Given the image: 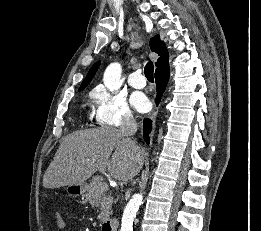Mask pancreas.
<instances>
[{
    "instance_id": "cf45deb5",
    "label": "pancreas",
    "mask_w": 261,
    "mask_h": 231,
    "mask_svg": "<svg viewBox=\"0 0 261 231\" xmlns=\"http://www.w3.org/2000/svg\"><path fill=\"white\" fill-rule=\"evenodd\" d=\"M103 184L104 182L101 177H95L87 186L85 195L92 207L100 208V214L98 215L99 222L108 220L113 204V198L110 195L106 196V191L101 190Z\"/></svg>"
}]
</instances>
